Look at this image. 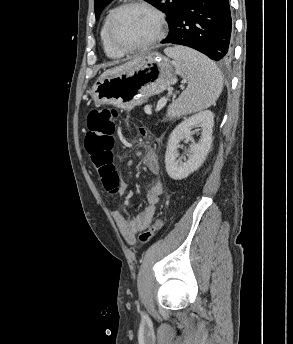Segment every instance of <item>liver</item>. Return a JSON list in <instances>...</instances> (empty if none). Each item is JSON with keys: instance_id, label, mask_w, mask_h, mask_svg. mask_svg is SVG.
<instances>
[{"instance_id": "liver-1", "label": "liver", "mask_w": 293, "mask_h": 344, "mask_svg": "<svg viewBox=\"0 0 293 344\" xmlns=\"http://www.w3.org/2000/svg\"><path fill=\"white\" fill-rule=\"evenodd\" d=\"M142 57L143 56L135 57L131 61H128L126 63L119 65V66H116V67H113V68H110V69L104 71L100 75V77L97 79V81L102 80L108 76L123 72V71L128 70V69H131L132 67H134L135 65H137L141 61Z\"/></svg>"}]
</instances>
